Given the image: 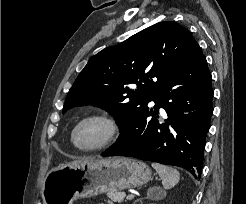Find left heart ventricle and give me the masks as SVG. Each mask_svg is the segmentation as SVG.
<instances>
[{
	"label": "left heart ventricle",
	"mask_w": 246,
	"mask_h": 204,
	"mask_svg": "<svg viewBox=\"0 0 246 204\" xmlns=\"http://www.w3.org/2000/svg\"><path fill=\"white\" fill-rule=\"evenodd\" d=\"M105 133V126L97 121L83 124L77 131L76 138L80 145L91 146L97 143Z\"/></svg>",
	"instance_id": "b2bd125f"
}]
</instances>
